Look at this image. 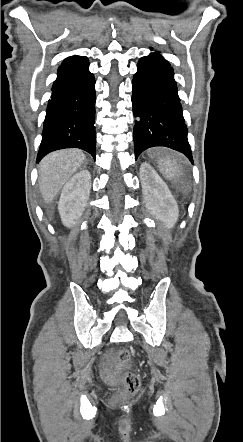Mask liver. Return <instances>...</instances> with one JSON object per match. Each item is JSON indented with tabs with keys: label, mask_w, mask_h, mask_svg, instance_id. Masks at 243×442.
Segmentation results:
<instances>
[{
	"label": "liver",
	"mask_w": 243,
	"mask_h": 442,
	"mask_svg": "<svg viewBox=\"0 0 243 442\" xmlns=\"http://www.w3.org/2000/svg\"><path fill=\"white\" fill-rule=\"evenodd\" d=\"M85 161L86 156L79 149L55 151L42 159L38 166L39 190L47 204Z\"/></svg>",
	"instance_id": "obj_1"
}]
</instances>
